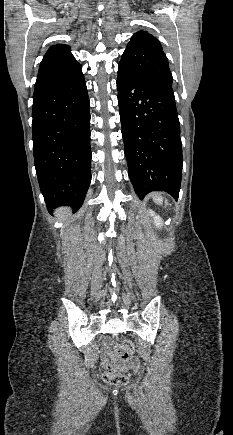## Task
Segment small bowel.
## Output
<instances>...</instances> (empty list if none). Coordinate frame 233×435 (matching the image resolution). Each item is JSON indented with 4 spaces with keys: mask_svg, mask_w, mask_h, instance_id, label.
<instances>
[{
    "mask_svg": "<svg viewBox=\"0 0 233 435\" xmlns=\"http://www.w3.org/2000/svg\"><path fill=\"white\" fill-rule=\"evenodd\" d=\"M109 348L105 347L103 352L104 353H108ZM105 365V363H102V366ZM137 366V360L136 359H132L130 360V362L126 365V367H136Z\"/></svg>",
    "mask_w": 233,
    "mask_h": 435,
    "instance_id": "c3829d8e",
    "label": "small bowel"
}]
</instances>
